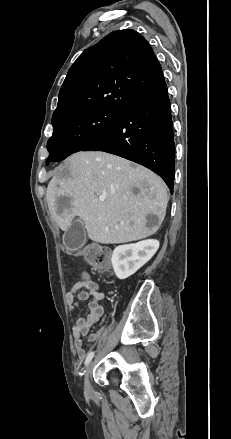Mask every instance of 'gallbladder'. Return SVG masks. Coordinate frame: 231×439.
<instances>
[{
	"mask_svg": "<svg viewBox=\"0 0 231 439\" xmlns=\"http://www.w3.org/2000/svg\"><path fill=\"white\" fill-rule=\"evenodd\" d=\"M86 240L85 225L80 219L74 220L63 236L65 246L71 251L81 249Z\"/></svg>",
	"mask_w": 231,
	"mask_h": 439,
	"instance_id": "bac80fb5",
	"label": "gallbladder"
}]
</instances>
